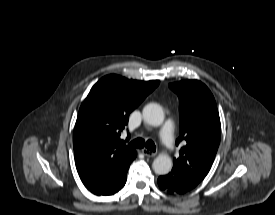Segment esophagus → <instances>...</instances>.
I'll use <instances>...</instances> for the list:
<instances>
[{
	"label": "esophagus",
	"mask_w": 275,
	"mask_h": 215,
	"mask_svg": "<svg viewBox=\"0 0 275 215\" xmlns=\"http://www.w3.org/2000/svg\"><path fill=\"white\" fill-rule=\"evenodd\" d=\"M142 153L146 156V157H155L156 153L152 152L146 148L142 149Z\"/></svg>",
	"instance_id": "esophagus-1"
}]
</instances>
